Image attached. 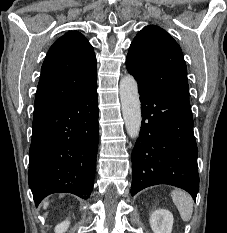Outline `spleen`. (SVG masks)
I'll return each mask as SVG.
<instances>
[{"instance_id":"3e777b00","label":"spleen","mask_w":227,"mask_h":233,"mask_svg":"<svg viewBox=\"0 0 227 233\" xmlns=\"http://www.w3.org/2000/svg\"><path fill=\"white\" fill-rule=\"evenodd\" d=\"M171 197L183 221L188 222L193 213V199L183 190H173Z\"/></svg>"}]
</instances>
